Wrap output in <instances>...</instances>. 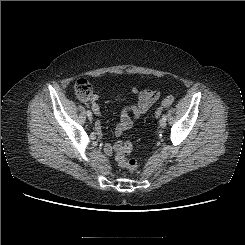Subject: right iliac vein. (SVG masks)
Wrapping results in <instances>:
<instances>
[{
	"mask_svg": "<svg viewBox=\"0 0 245 245\" xmlns=\"http://www.w3.org/2000/svg\"><path fill=\"white\" fill-rule=\"evenodd\" d=\"M88 119L89 120H92L93 119L92 114L88 116Z\"/></svg>",
	"mask_w": 245,
	"mask_h": 245,
	"instance_id": "1",
	"label": "right iliac vein"
}]
</instances>
